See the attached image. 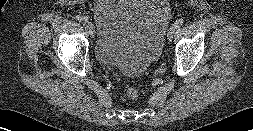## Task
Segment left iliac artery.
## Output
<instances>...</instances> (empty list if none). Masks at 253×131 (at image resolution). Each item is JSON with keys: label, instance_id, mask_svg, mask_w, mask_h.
I'll list each match as a JSON object with an SVG mask.
<instances>
[{"label": "left iliac artery", "instance_id": "44dca946", "mask_svg": "<svg viewBox=\"0 0 253 131\" xmlns=\"http://www.w3.org/2000/svg\"><path fill=\"white\" fill-rule=\"evenodd\" d=\"M183 23H184V19L180 18V19H177V20L175 21L174 26H175L176 28H180V27L183 25Z\"/></svg>", "mask_w": 253, "mask_h": 131}]
</instances>
